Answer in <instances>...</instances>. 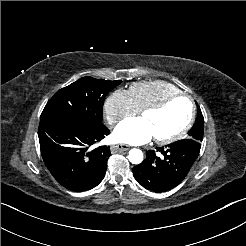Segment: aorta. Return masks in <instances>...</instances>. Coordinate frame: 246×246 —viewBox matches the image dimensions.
<instances>
[{
  "label": "aorta",
  "instance_id": "aorta-1",
  "mask_svg": "<svg viewBox=\"0 0 246 246\" xmlns=\"http://www.w3.org/2000/svg\"><path fill=\"white\" fill-rule=\"evenodd\" d=\"M128 159L132 164H140L143 161V152L137 148L131 149Z\"/></svg>",
  "mask_w": 246,
  "mask_h": 246
}]
</instances>
